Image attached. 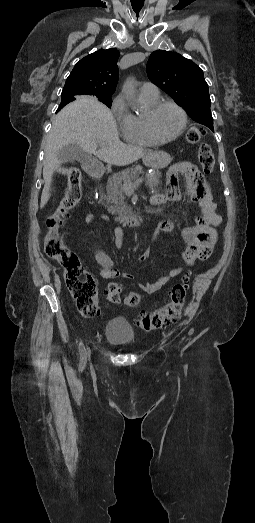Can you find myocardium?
I'll use <instances>...</instances> for the list:
<instances>
[{"label":"myocardium","instance_id":"1","mask_svg":"<svg viewBox=\"0 0 255 523\" xmlns=\"http://www.w3.org/2000/svg\"><path fill=\"white\" fill-rule=\"evenodd\" d=\"M164 106L174 107L181 116V126H180L178 132L169 138L159 137L155 133L154 128H153V117L157 113V111ZM186 125H187V116H186L185 111L183 110L182 107H180L178 104H176L175 102H172V101H158L155 105L151 106L148 109L147 113L144 116L145 130H146L147 134L151 137V139L153 141H155L156 143H169V142L176 140L183 134V132L186 128Z\"/></svg>","mask_w":255,"mask_h":523}]
</instances>
